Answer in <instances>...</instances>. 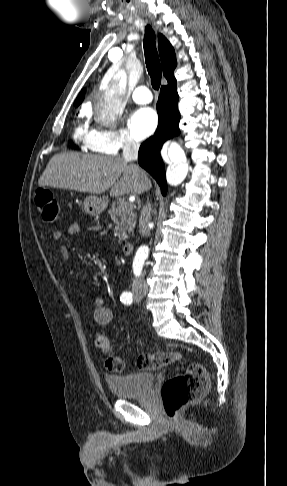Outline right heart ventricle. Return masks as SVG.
<instances>
[{
  "label": "right heart ventricle",
  "instance_id": "right-heart-ventricle-1",
  "mask_svg": "<svg viewBox=\"0 0 287 486\" xmlns=\"http://www.w3.org/2000/svg\"><path fill=\"white\" fill-rule=\"evenodd\" d=\"M92 133L93 130L89 129L84 125H79L74 131V140L87 146L92 137Z\"/></svg>",
  "mask_w": 287,
  "mask_h": 486
}]
</instances>
